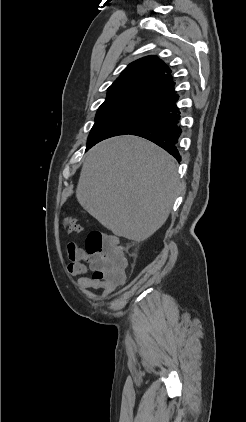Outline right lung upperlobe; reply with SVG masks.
<instances>
[{
    "instance_id": "cb5924a9",
    "label": "right lung upper lobe",
    "mask_w": 246,
    "mask_h": 422,
    "mask_svg": "<svg viewBox=\"0 0 246 422\" xmlns=\"http://www.w3.org/2000/svg\"><path fill=\"white\" fill-rule=\"evenodd\" d=\"M172 79L170 68L158 57H143L123 70L101 106L162 109L179 98Z\"/></svg>"
}]
</instances>
